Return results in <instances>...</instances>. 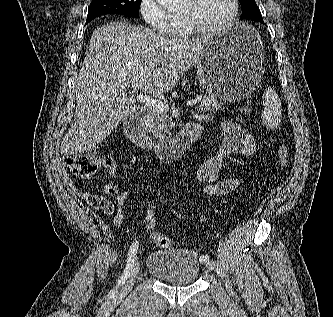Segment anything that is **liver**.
Returning <instances> with one entry per match:
<instances>
[{
  "label": "liver",
  "mask_w": 333,
  "mask_h": 317,
  "mask_svg": "<svg viewBox=\"0 0 333 317\" xmlns=\"http://www.w3.org/2000/svg\"><path fill=\"white\" fill-rule=\"evenodd\" d=\"M208 38L181 39L122 21L98 27L75 85L76 111L61 154L90 151L132 117L137 107L127 97L128 87L149 94L171 90L197 62Z\"/></svg>",
  "instance_id": "liver-1"
}]
</instances>
